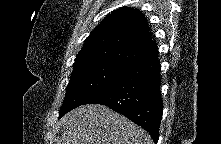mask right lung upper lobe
Returning a JSON list of instances; mask_svg holds the SVG:
<instances>
[{
	"instance_id": "1",
	"label": "right lung upper lobe",
	"mask_w": 221,
	"mask_h": 144,
	"mask_svg": "<svg viewBox=\"0 0 221 144\" xmlns=\"http://www.w3.org/2000/svg\"><path fill=\"white\" fill-rule=\"evenodd\" d=\"M156 49L157 44L152 40L144 15L124 7L102 20L85 40L75 61L107 51H123L145 57Z\"/></svg>"
}]
</instances>
